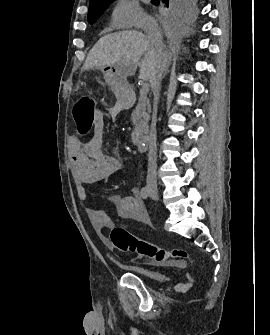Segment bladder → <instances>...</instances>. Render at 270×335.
I'll return each instance as SVG.
<instances>
[{"instance_id":"31cf9c89","label":"bladder","mask_w":270,"mask_h":335,"mask_svg":"<svg viewBox=\"0 0 270 335\" xmlns=\"http://www.w3.org/2000/svg\"><path fill=\"white\" fill-rule=\"evenodd\" d=\"M143 276L147 278V280L153 281H165L166 275L162 272H150V271H142L140 272Z\"/></svg>"}]
</instances>
